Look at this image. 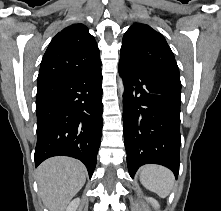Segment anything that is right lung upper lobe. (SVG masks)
<instances>
[{
	"label": "right lung upper lobe",
	"instance_id": "right-lung-upper-lobe-1",
	"mask_svg": "<svg viewBox=\"0 0 221 211\" xmlns=\"http://www.w3.org/2000/svg\"><path fill=\"white\" fill-rule=\"evenodd\" d=\"M101 66L94 37L83 24L64 28L50 42L40 65L37 87L86 73Z\"/></svg>",
	"mask_w": 221,
	"mask_h": 211
}]
</instances>
